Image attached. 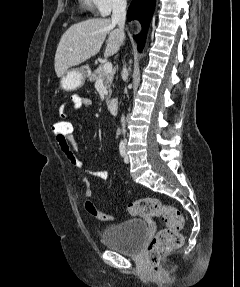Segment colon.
I'll return each mask as SVG.
<instances>
[{"label": "colon", "mask_w": 240, "mask_h": 287, "mask_svg": "<svg viewBox=\"0 0 240 287\" xmlns=\"http://www.w3.org/2000/svg\"><path fill=\"white\" fill-rule=\"evenodd\" d=\"M72 129V123L62 117L52 125V132L56 140L60 141H66L71 136ZM81 183L86 189L88 197L85 202L86 211L99 221H112L114 217L102 213L92 201V192L87 179L82 178ZM128 212L133 216L160 217L164 221L165 227L153 237L145 254L147 265L157 270L161 259L181 246L183 242L181 230L184 227V218L176 207L163 204L160 200L151 197L130 202Z\"/></svg>", "instance_id": "5ec220e1"}]
</instances>
